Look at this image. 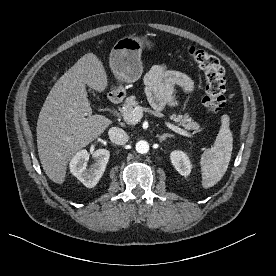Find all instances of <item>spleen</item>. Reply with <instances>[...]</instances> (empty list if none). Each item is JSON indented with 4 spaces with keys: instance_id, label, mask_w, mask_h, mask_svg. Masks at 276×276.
Returning <instances> with one entry per match:
<instances>
[{
    "instance_id": "spleen-1",
    "label": "spleen",
    "mask_w": 276,
    "mask_h": 276,
    "mask_svg": "<svg viewBox=\"0 0 276 276\" xmlns=\"http://www.w3.org/2000/svg\"><path fill=\"white\" fill-rule=\"evenodd\" d=\"M229 120L227 115L222 116L214 146L204 151L201 156L202 186L205 189L217 184L227 171L233 149Z\"/></svg>"
}]
</instances>
